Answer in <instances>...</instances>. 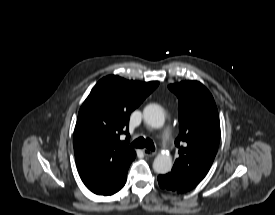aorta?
<instances>
[{
  "mask_svg": "<svg viewBox=\"0 0 275 215\" xmlns=\"http://www.w3.org/2000/svg\"><path fill=\"white\" fill-rule=\"evenodd\" d=\"M144 121L153 128H161L165 122L164 110L157 104H149L143 110ZM173 166L172 158L159 153L153 162V169L158 174L168 173Z\"/></svg>",
  "mask_w": 275,
  "mask_h": 215,
  "instance_id": "762f6f07",
  "label": "aorta"
}]
</instances>
